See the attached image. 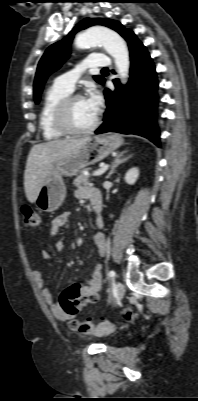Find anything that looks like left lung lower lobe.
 <instances>
[{
  "mask_svg": "<svg viewBox=\"0 0 198 401\" xmlns=\"http://www.w3.org/2000/svg\"><path fill=\"white\" fill-rule=\"evenodd\" d=\"M125 40L130 50V80L123 87L115 79V90H104L107 109L104 122L95 133L137 134L160 146L155 121L158 86L155 66L146 47L132 31Z\"/></svg>",
  "mask_w": 198,
  "mask_h": 401,
  "instance_id": "1",
  "label": "left lung lower lobe"
}]
</instances>
